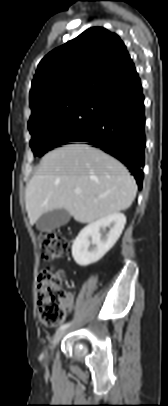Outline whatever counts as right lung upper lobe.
Returning <instances> with one entry per match:
<instances>
[{
	"label": "right lung upper lobe",
	"mask_w": 168,
	"mask_h": 406,
	"mask_svg": "<svg viewBox=\"0 0 168 406\" xmlns=\"http://www.w3.org/2000/svg\"><path fill=\"white\" fill-rule=\"evenodd\" d=\"M137 78L117 34L102 27L87 29L39 63L30 91L28 124L81 101L101 99Z\"/></svg>",
	"instance_id": "obj_1"
}]
</instances>
